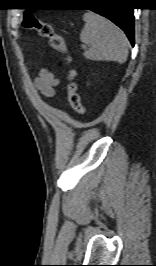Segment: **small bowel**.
<instances>
[{"label":"small bowel","mask_w":156,"mask_h":266,"mask_svg":"<svg viewBox=\"0 0 156 266\" xmlns=\"http://www.w3.org/2000/svg\"><path fill=\"white\" fill-rule=\"evenodd\" d=\"M60 84V79L49 69H41L35 79L36 90L45 98H52L55 95V89Z\"/></svg>","instance_id":"1"}]
</instances>
